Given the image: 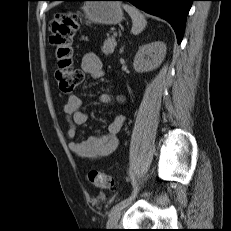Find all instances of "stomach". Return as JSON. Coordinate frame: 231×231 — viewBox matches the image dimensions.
<instances>
[{
  "mask_svg": "<svg viewBox=\"0 0 231 231\" xmlns=\"http://www.w3.org/2000/svg\"><path fill=\"white\" fill-rule=\"evenodd\" d=\"M82 10L86 19L92 23L115 25L123 19V11L119 2L91 0L84 3Z\"/></svg>",
  "mask_w": 231,
  "mask_h": 231,
  "instance_id": "0dacf381",
  "label": "stomach"
}]
</instances>
